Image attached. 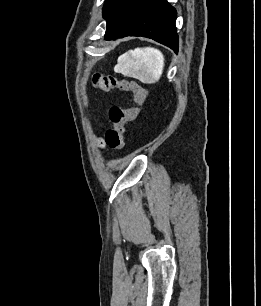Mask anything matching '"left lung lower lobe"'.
Returning a JSON list of instances; mask_svg holds the SVG:
<instances>
[{
	"label": "left lung lower lobe",
	"mask_w": 261,
	"mask_h": 306,
	"mask_svg": "<svg viewBox=\"0 0 261 306\" xmlns=\"http://www.w3.org/2000/svg\"><path fill=\"white\" fill-rule=\"evenodd\" d=\"M176 10L167 0H132L106 40L126 36L151 38L178 52Z\"/></svg>",
	"instance_id": "0a47b994"
}]
</instances>
